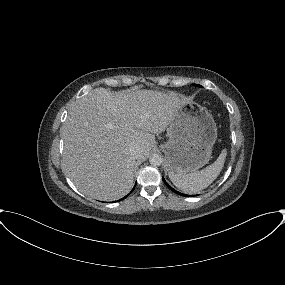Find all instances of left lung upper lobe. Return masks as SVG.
Returning a JSON list of instances; mask_svg holds the SVG:
<instances>
[{"label": "left lung upper lobe", "instance_id": "1", "mask_svg": "<svg viewBox=\"0 0 285 285\" xmlns=\"http://www.w3.org/2000/svg\"><path fill=\"white\" fill-rule=\"evenodd\" d=\"M195 86H197V87H201L200 85H198V84H194Z\"/></svg>", "mask_w": 285, "mask_h": 285}]
</instances>
